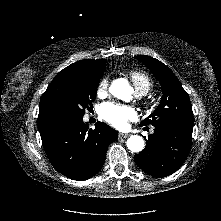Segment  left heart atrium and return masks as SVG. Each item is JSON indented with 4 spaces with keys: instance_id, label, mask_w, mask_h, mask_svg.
Listing matches in <instances>:
<instances>
[{
    "instance_id": "left-heart-atrium-1",
    "label": "left heart atrium",
    "mask_w": 221,
    "mask_h": 221,
    "mask_svg": "<svg viewBox=\"0 0 221 221\" xmlns=\"http://www.w3.org/2000/svg\"><path fill=\"white\" fill-rule=\"evenodd\" d=\"M101 116L118 129L127 127L128 122L136 118V112L132 107L105 103L100 108Z\"/></svg>"
}]
</instances>
